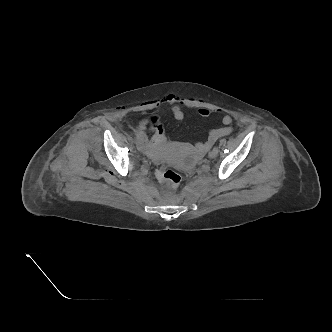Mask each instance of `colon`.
<instances>
[{
	"mask_svg": "<svg viewBox=\"0 0 332 332\" xmlns=\"http://www.w3.org/2000/svg\"><path fill=\"white\" fill-rule=\"evenodd\" d=\"M151 126L156 139L161 143L165 142L163 127L158 123L156 118H152ZM156 177L161 183L171 189L177 188L181 182V176L177 172L169 169L164 163L158 165Z\"/></svg>",
	"mask_w": 332,
	"mask_h": 332,
	"instance_id": "5ec220e1",
	"label": "colon"
}]
</instances>
